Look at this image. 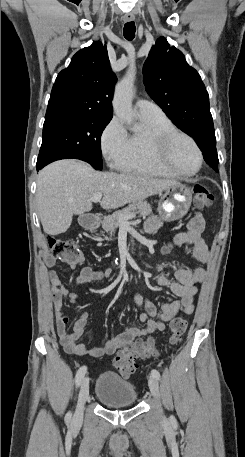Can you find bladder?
I'll list each match as a JSON object with an SVG mask.
<instances>
[{
	"instance_id": "1",
	"label": "bladder",
	"mask_w": 245,
	"mask_h": 457,
	"mask_svg": "<svg viewBox=\"0 0 245 457\" xmlns=\"http://www.w3.org/2000/svg\"><path fill=\"white\" fill-rule=\"evenodd\" d=\"M96 397L105 406H129L137 400L134 385L109 373L100 375L96 384Z\"/></svg>"
}]
</instances>
